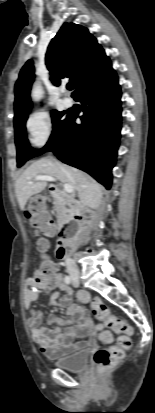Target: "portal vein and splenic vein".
Returning <instances> with one entry per match:
<instances>
[{
	"label": "portal vein and splenic vein",
	"instance_id": "18ae733b",
	"mask_svg": "<svg viewBox=\"0 0 155 413\" xmlns=\"http://www.w3.org/2000/svg\"><path fill=\"white\" fill-rule=\"evenodd\" d=\"M35 181H50V182H55L56 179L51 177V176H37L35 178ZM63 189L66 193H72L73 192V187L70 184H64Z\"/></svg>",
	"mask_w": 155,
	"mask_h": 413
}]
</instances>
